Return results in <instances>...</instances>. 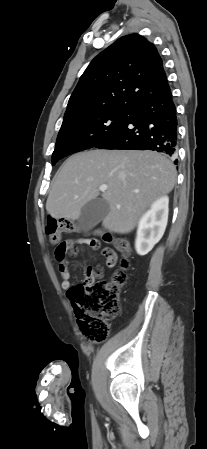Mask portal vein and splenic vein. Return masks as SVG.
Wrapping results in <instances>:
<instances>
[{
    "instance_id": "1",
    "label": "portal vein and splenic vein",
    "mask_w": 207,
    "mask_h": 449,
    "mask_svg": "<svg viewBox=\"0 0 207 449\" xmlns=\"http://www.w3.org/2000/svg\"><path fill=\"white\" fill-rule=\"evenodd\" d=\"M107 188H108L107 185H101V186H99V190L102 191V192H103V191H106Z\"/></svg>"
}]
</instances>
